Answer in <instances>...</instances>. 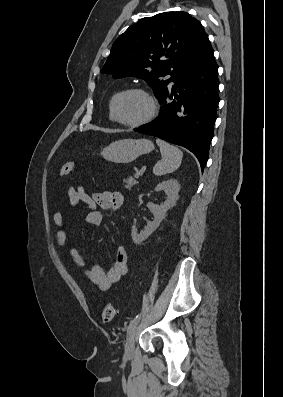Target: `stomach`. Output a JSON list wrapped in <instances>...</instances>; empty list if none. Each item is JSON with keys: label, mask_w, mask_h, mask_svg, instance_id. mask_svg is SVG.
<instances>
[{"label": "stomach", "mask_w": 283, "mask_h": 397, "mask_svg": "<svg viewBox=\"0 0 283 397\" xmlns=\"http://www.w3.org/2000/svg\"><path fill=\"white\" fill-rule=\"evenodd\" d=\"M154 149L148 139L117 140L103 148L101 155L114 163H130L142 154L150 153Z\"/></svg>", "instance_id": "obj_1"}]
</instances>
